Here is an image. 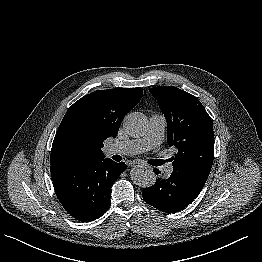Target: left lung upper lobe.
Segmentation results:
<instances>
[{"instance_id": "5c2ea615", "label": "left lung upper lobe", "mask_w": 262, "mask_h": 262, "mask_svg": "<svg viewBox=\"0 0 262 262\" xmlns=\"http://www.w3.org/2000/svg\"><path fill=\"white\" fill-rule=\"evenodd\" d=\"M149 92L167 120V143L178 150L171 158L174 171L206 182L214 157V132L204 106L176 87H155Z\"/></svg>"}]
</instances>
